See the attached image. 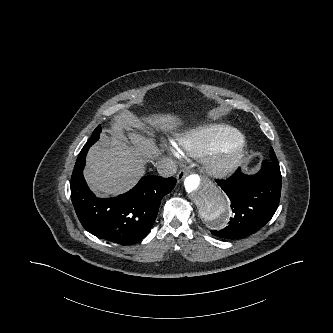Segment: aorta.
Here are the masks:
<instances>
[{"mask_svg": "<svg viewBox=\"0 0 333 333\" xmlns=\"http://www.w3.org/2000/svg\"><path fill=\"white\" fill-rule=\"evenodd\" d=\"M185 193L203 221L214 226L225 219L228 213V201L225 194L209 179L190 174L184 181Z\"/></svg>", "mask_w": 333, "mask_h": 333, "instance_id": "1", "label": "aorta"}]
</instances>
